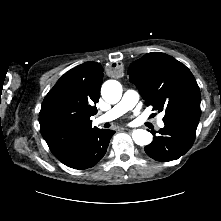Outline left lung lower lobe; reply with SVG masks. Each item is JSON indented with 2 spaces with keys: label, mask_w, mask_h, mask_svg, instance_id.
I'll use <instances>...</instances> for the list:
<instances>
[{
  "label": "left lung lower lobe",
  "mask_w": 221,
  "mask_h": 221,
  "mask_svg": "<svg viewBox=\"0 0 221 221\" xmlns=\"http://www.w3.org/2000/svg\"><path fill=\"white\" fill-rule=\"evenodd\" d=\"M199 119H177L164 121V128L152 131L153 142L144 150L156 161L168 162L180 158L192 147Z\"/></svg>",
  "instance_id": "0a47b994"
}]
</instances>
